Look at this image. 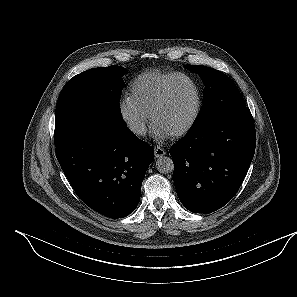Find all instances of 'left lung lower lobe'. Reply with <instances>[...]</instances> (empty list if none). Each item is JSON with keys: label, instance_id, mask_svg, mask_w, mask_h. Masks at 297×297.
Returning a JSON list of instances; mask_svg holds the SVG:
<instances>
[{"label": "left lung lower lobe", "instance_id": "0a47b994", "mask_svg": "<svg viewBox=\"0 0 297 297\" xmlns=\"http://www.w3.org/2000/svg\"><path fill=\"white\" fill-rule=\"evenodd\" d=\"M255 146L254 121L246 106L191 128L170 149L174 183L184 207L208 214L227 204L247 174Z\"/></svg>", "mask_w": 297, "mask_h": 297}]
</instances>
